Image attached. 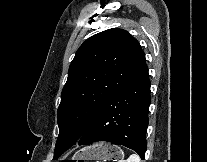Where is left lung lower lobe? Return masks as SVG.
I'll return each instance as SVG.
<instances>
[{
    "label": "left lung lower lobe",
    "instance_id": "left-lung-lower-lobe-1",
    "mask_svg": "<svg viewBox=\"0 0 207 162\" xmlns=\"http://www.w3.org/2000/svg\"><path fill=\"white\" fill-rule=\"evenodd\" d=\"M145 60L102 104L80 137L79 145L108 141L137 152L144 160L150 105Z\"/></svg>",
    "mask_w": 207,
    "mask_h": 162
}]
</instances>
